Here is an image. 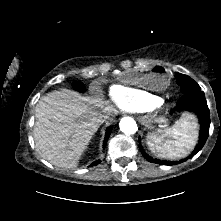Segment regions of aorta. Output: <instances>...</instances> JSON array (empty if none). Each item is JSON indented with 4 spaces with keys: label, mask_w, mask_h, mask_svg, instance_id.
<instances>
[{
    "label": "aorta",
    "mask_w": 221,
    "mask_h": 221,
    "mask_svg": "<svg viewBox=\"0 0 221 221\" xmlns=\"http://www.w3.org/2000/svg\"><path fill=\"white\" fill-rule=\"evenodd\" d=\"M120 130L126 134L131 135L138 130L136 121L131 117H123L119 123Z\"/></svg>",
    "instance_id": "1"
}]
</instances>
